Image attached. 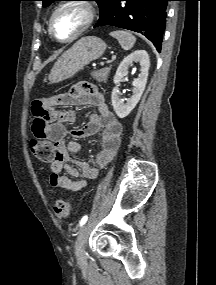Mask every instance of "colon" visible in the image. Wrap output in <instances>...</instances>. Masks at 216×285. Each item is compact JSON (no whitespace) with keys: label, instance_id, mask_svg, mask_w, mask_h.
<instances>
[{"label":"colon","instance_id":"5ec220e1","mask_svg":"<svg viewBox=\"0 0 216 285\" xmlns=\"http://www.w3.org/2000/svg\"><path fill=\"white\" fill-rule=\"evenodd\" d=\"M45 136H35L30 141L32 154L42 162H52L56 153L50 141H46ZM72 210V204L68 200H57L53 205L55 216L60 220H65Z\"/></svg>","mask_w":216,"mask_h":285}]
</instances>
